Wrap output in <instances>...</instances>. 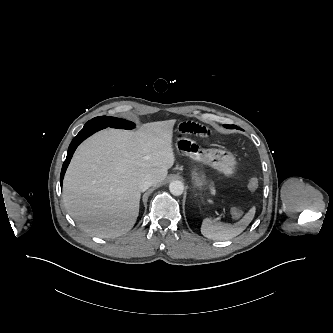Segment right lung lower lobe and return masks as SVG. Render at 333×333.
Returning <instances> with one entry per match:
<instances>
[{
    "instance_id": "obj_1",
    "label": "right lung lower lobe",
    "mask_w": 333,
    "mask_h": 333,
    "mask_svg": "<svg viewBox=\"0 0 333 333\" xmlns=\"http://www.w3.org/2000/svg\"><path fill=\"white\" fill-rule=\"evenodd\" d=\"M103 128H106L104 126H84V128L78 133V135L73 139V141L71 142L69 148H68V153H67V157L65 162L63 163L62 166V171H61V175H60V183L62 185V181H63V177L65 174V171L68 167V164L71 160V157L75 151V149L77 148V146L83 141L85 140L88 136L92 135L93 133H95L96 131H99Z\"/></svg>"
}]
</instances>
